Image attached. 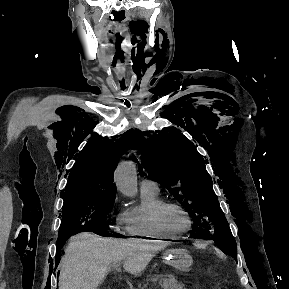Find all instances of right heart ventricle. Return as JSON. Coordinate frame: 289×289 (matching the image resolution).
I'll return each instance as SVG.
<instances>
[{
    "mask_svg": "<svg viewBox=\"0 0 289 289\" xmlns=\"http://www.w3.org/2000/svg\"><path fill=\"white\" fill-rule=\"evenodd\" d=\"M163 201L159 191L141 190L140 202L129 206L121 215L124 232L131 236L170 238L153 220L155 208Z\"/></svg>",
    "mask_w": 289,
    "mask_h": 289,
    "instance_id": "obj_1",
    "label": "right heart ventricle"
}]
</instances>
